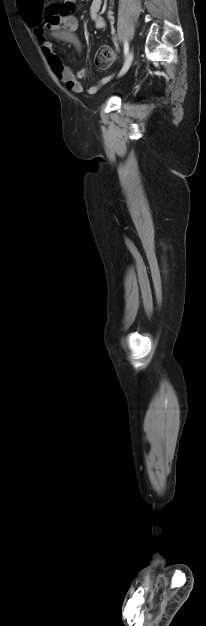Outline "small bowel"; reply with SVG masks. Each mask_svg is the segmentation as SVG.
<instances>
[{
	"label": "small bowel",
	"instance_id": "obj_1",
	"mask_svg": "<svg viewBox=\"0 0 206 626\" xmlns=\"http://www.w3.org/2000/svg\"><path fill=\"white\" fill-rule=\"evenodd\" d=\"M102 3L103 0H92L89 7L90 17L97 29H103L106 26L105 20L99 15ZM75 11V0L51 3L46 7L40 1L26 15V20L33 26L34 35L57 78L64 82L74 93H82L84 92V87L81 80L86 77L87 70L82 68L76 72L72 71L56 54L53 42L47 39L50 36L56 41L69 43L80 51L81 43L75 34L78 28V19L74 14ZM109 80L110 77L101 79L96 84L90 86L87 89V93H96Z\"/></svg>",
	"mask_w": 206,
	"mask_h": 626
}]
</instances>
